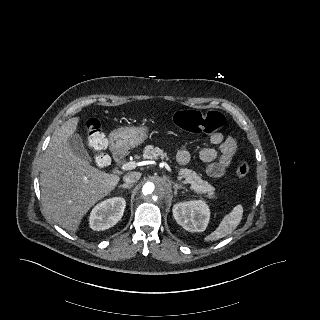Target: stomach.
I'll use <instances>...</instances> for the list:
<instances>
[{
  "label": "stomach",
  "instance_id": "0dacf381",
  "mask_svg": "<svg viewBox=\"0 0 320 320\" xmlns=\"http://www.w3.org/2000/svg\"><path fill=\"white\" fill-rule=\"evenodd\" d=\"M148 128L141 127H121L113 130L110 135V143L115 148L128 150L140 145L147 139Z\"/></svg>",
  "mask_w": 320,
  "mask_h": 320
}]
</instances>
